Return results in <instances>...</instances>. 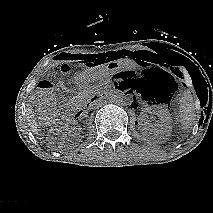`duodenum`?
<instances>
[{
  "label": "duodenum",
  "instance_id": "duodenum-1",
  "mask_svg": "<svg viewBox=\"0 0 213 213\" xmlns=\"http://www.w3.org/2000/svg\"><path fill=\"white\" fill-rule=\"evenodd\" d=\"M107 97L106 93L105 92H102V93H98L96 95H94L91 100H90V103L89 104H92L94 102H98V101H101V100H104L105 98ZM71 113L78 117L80 116L81 114L84 113V109L83 108H80V107H75L71 110Z\"/></svg>",
  "mask_w": 213,
  "mask_h": 213
}]
</instances>
